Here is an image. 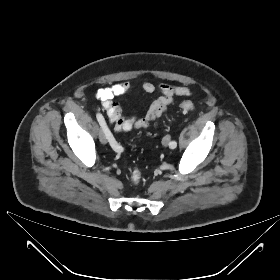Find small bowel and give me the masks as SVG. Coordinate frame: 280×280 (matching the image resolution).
Instances as JSON below:
<instances>
[{
  "label": "small bowel",
  "instance_id": "obj_1",
  "mask_svg": "<svg viewBox=\"0 0 280 280\" xmlns=\"http://www.w3.org/2000/svg\"><path fill=\"white\" fill-rule=\"evenodd\" d=\"M142 89L146 93L156 91L159 94L158 98L149 105L143 117H125L120 104L114 100L116 97H124L129 94L131 90L129 82H119L111 87L97 91L96 97L107 112L116 132H130L134 129H146L150 126H156L167 107L172 104L175 96L190 94V89L184 86H174L167 83L155 85L150 81L143 82Z\"/></svg>",
  "mask_w": 280,
  "mask_h": 280
}]
</instances>
